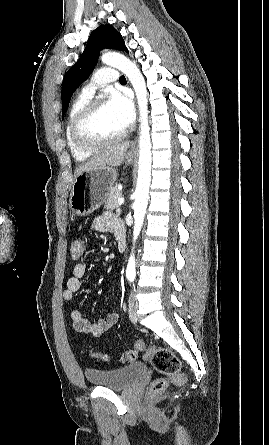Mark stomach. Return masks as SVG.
Returning a JSON list of instances; mask_svg holds the SVG:
<instances>
[{
    "instance_id": "1",
    "label": "stomach",
    "mask_w": 269,
    "mask_h": 445,
    "mask_svg": "<svg viewBox=\"0 0 269 445\" xmlns=\"http://www.w3.org/2000/svg\"><path fill=\"white\" fill-rule=\"evenodd\" d=\"M131 164L134 158L126 156ZM117 170L112 167L97 168L82 172L72 184L69 207L77 216H86L98 209L106 200L117 179Z\"/></svg>"
}]
</instances>
